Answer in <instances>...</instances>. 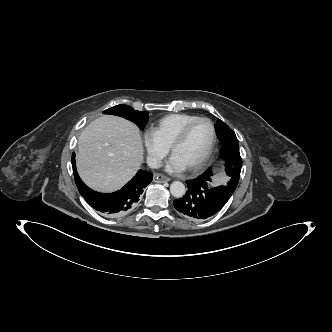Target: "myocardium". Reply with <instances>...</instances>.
I'll return each instance as SVG.
<instances>
[{
    "instance_id": "myocardium-1",
    "label": "myocardium",
    "mask_w": 332,
    "mask_h": 332,
    "mask_svg": "<svg viewBox=\"0 0 332 332\" xmlns=\"http://www.w3.org/2000/svg\"><path fill=\"white\" fill-rule=\"evenodd\" d=\"M200 121H206L210 124L211 129H212V139H211L209 147L207 148L206 152L202 155V157L196 163H194L192 166L187 168V170L190 172H196V171L200 170L205 165V163L208 161V159L210 158V156L215 148V145L217 142V129H216V126L213 123V121L207 117L195 118L194 120L188 122L179 131V133L177 134V136L174 138V140L172 141V143L169 146V151L171 154H173V151L175 150V148L178 147L185 140L191 127Z\"/></svg>"
}]
</instances>
